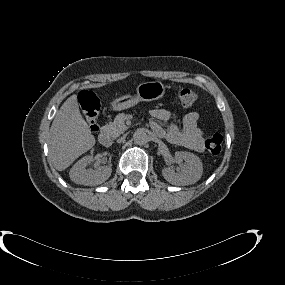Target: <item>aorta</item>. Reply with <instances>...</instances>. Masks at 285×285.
I'll return each instance as SVG.
<instances>
[{
  "instance_id": "obj_1",
  "label": "aorta",
  "mask_w": 285,
  "mask_h": 285,
  "mask_svg": "<svg viewBox=\"0 0 285 285\" xmlns=\"http://www.w3.org/2000/svg\"><path fill=\"white\" fill-rule=\"evenodd\" d=\"M133 139L137 145H144L148 142V135L143 130H137L133 135Z\"/></svg>"
}]
</instances>
